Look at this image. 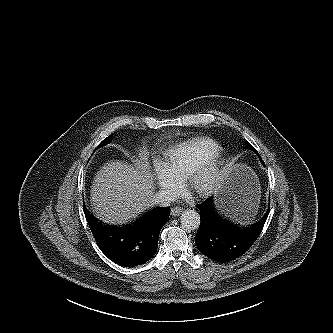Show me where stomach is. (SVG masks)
<instances>
[{
    "label": "stomach",
    "mask_w": 333,
    "mask_h": 333,
    "mask_svg": "<svg viewBox=\"0 0 333 333\" xmlns=\"http://www.w3.org/2000/svg\"><path fill=\"white\" fill-rule=\"evenodd\" d=\"M217 192L216 217L227 230L241 231L257 219L261 190L256 174L241 163H230Z\"/></svg>",
    "instance_id": "obj_1"
}]
</instances>
